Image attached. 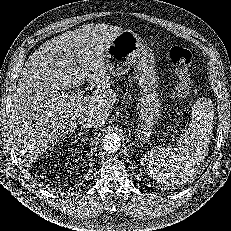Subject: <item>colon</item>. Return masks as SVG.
I'll return each instance as SVG.
<instances>
[{
	"instance_id": "colon-1",
	"label": "colon",
	"mask_w": 231,
	"mask_h": 231,
	"mask_svg": "<svg viewBox=\"0 0 231 231\" xmlns=\"http://www.w3.org/2000/svg\"><path fill=\"white\" fill-rule=\"evenodd\" d=\"M169 58L177 77L175 95L179 99L187 98L191 93L192 53L184 47L175 46L171 48Z\"/></svg>"
}]
</instances>
